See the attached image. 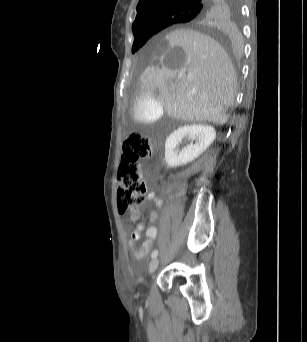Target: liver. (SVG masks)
Segmentation results:
<instances>
[{
  "instance_id": "1",
  "label": "liver",
  "mask_w": 307,
  "mask_h": 342,
  "mask_svg": "<svg viewBox=\"0 0 307 342\" xmlns=\"http://www.w3.org/2000/svg\"><path fill=\"white\" fill-rule=\"evenodd\" d=\"M149 68L140 76V95L158 88L169 118L182 122L226 124L237 78L224 48L195 30H173L157 44ZM188 74H192L188 78ZM175 80L176 86H169Z\"/></svg>"
}]
</instances>
